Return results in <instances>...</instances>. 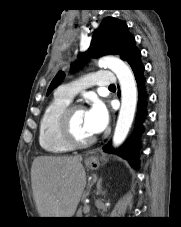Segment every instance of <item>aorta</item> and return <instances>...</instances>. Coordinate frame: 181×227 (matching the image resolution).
<instances>
[{
  "instance_id": "obj_1",
  "label": "aorta",
  "mask_w": 181,
  "mask_h": 227,
  "mask_svg": "<svg viewBox=\"0 0 181 227\" xmlns=\"http://www.w3.org/2000/svg\"><path fill=\"white\" fill-rule=\"evenodd\" d=\"M113 71L120 83L121 88V108L113 136V145L120 146L125 140L137 105V87L134 75L128 65L116 57H103L100 61Z\"/></svg>"
}]
</instances>
